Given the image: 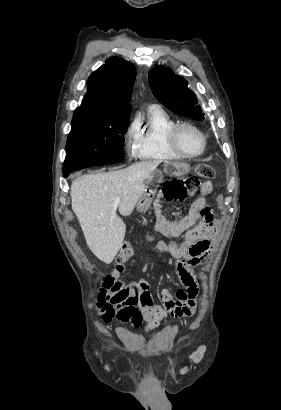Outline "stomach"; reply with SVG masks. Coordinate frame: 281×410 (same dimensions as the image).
<instances>
[{
  "label": "stomach",
  "mask_w": 281,
  "mask_h": 410,
  "mask_svg": "<svg viewBox=\"0 0 281 410\" xmlns=\"http://www.w3.org/2000/svg\"><path fill=\"white\" fill-rule=\"evenodd\" d=\"M189 170L190 166L186 163L176 161H165L163 164V171L159 169L155 170L150 176V178L147 180L145 190L137 202V211L146 212L150 208L154 196L157 192V188L163 180V173L170 176H182L188 173Z\"/></svg>",
  "instance_id": "0dacf381"
}]
</instances>
